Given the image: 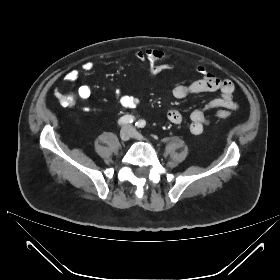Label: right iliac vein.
<instances>
[{
  "label": "right iliac vein",
  "instance_id": "right-iliac-vein-1",
  "mask_svg": "<svg viewBox=\"0 0 280 280\" xmlns=\"http://www.w3.org/2000/svg\"><path fill=\"white\" fill-rule=\"evenodd\" d=\"M132 137V129L130 127H125L120 132V139L122 141H128Z\"/></svg>",
  "mask_w": 280,
  "mask_h": 280
}]
</instances>
